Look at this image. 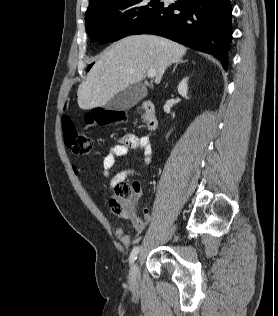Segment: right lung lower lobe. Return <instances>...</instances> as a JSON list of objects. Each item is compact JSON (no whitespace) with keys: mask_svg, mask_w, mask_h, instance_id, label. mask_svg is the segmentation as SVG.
<instances>
[{"mask_svg":"<svg viewBox=\"0 0 278 316\" xmlns=\"http://www.w3.org/2000/svg\"><path fill=\"white\" fill-rule=\"evenodd\" d=\"M230 0L162 2L159 9L131 35L154 34L212 54L227 68L232 36Z\"/></svg>","mask_w":278,"mask_h":316,"instance_id":"98d812e1","label":"right lung lower lobe"}]
</instances>
